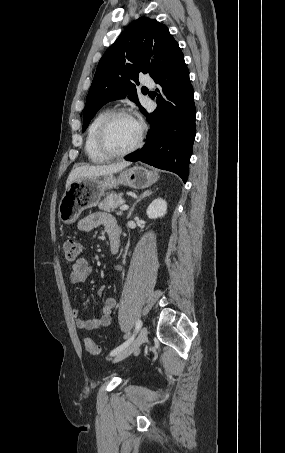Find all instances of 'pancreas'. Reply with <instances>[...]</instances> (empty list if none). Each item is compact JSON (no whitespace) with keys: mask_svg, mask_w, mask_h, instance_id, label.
Listing matches in <instances>:
<instances>
[{"mask_svg":"<svg viewBox=\"0 0 285 453\" xmlns=\"http://www.w3.org/2000/svg\"><path fill=\"white\" fill-rule=\"evenodd\" d=\"M123 202L122 194H110L106 196L98 205L99 209L113 212L116 208H118L121 203ZM118 216L122 215L121 211L116 212Z\"/></svg>","mask_w":285,"mask_h":453,"instance_id":"1","label":"pancreas"}]
</instances>
